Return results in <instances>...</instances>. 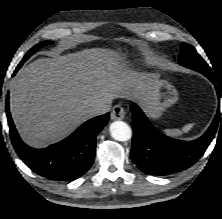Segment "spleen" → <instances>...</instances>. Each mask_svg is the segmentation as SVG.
<instances>
[{"mask_svg":"<svg viewBox=\"0 0 222 219\" xmlns=\"http://www.w3.org/2000/svg\"><path fill=\"white\" fill-rule=\"evenodd\" d=\"M193 123L191 124H187L185 125L182 130H179V129H166L164 130V132L169 135V136H172V137H178L180 136L183 132H188L192 127H193Z\"/></svg>","mask_w":222,"mask_h":219,"instance_id":"3e777b00","label":"spleen"}]
</instances>
